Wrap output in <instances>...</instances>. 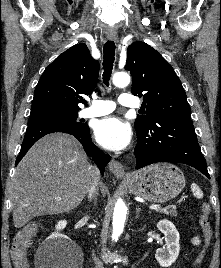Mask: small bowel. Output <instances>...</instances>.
Returning <instances> with one entry per match:
<instances>
[{
    "label": "small bowel",
    "mask_w": 221,
    "mask_h": 268,
    "mask_svg": "<svg viewBox=\"0 0 221 268\" xmlns=\"http://www.w3.org/2000/svg\"><path fill=\"white\" fill-rule=\"evenodd\" d=\"M199 242H200V238H199V236L198 235H196V236H194L193 238H192V244L193 245H198L199 244Z\"/></svg>",
    "instance_id": "1"
}]
</instances>
